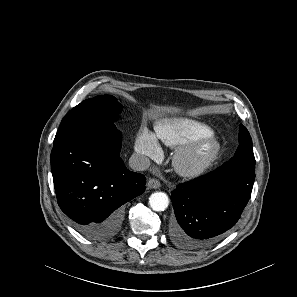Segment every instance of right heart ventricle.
<instances>
[{
    "label": "right heart ventricle",
    "mask_w": 297,
    "mask_h": 297,
    "mask_svg": "<svg viewBox=\"0 0 297 297\" xmlns=\"http://www.w3.org/2000/svg\"><path fill=\"white\" fill-rule=\"evenodd\" d=\"M212 129L205 123L186 117L169 118L156 124L158 138L167 146L180 147L193 139L212 134Z\"/></svg>",
    "instance_id": "right-heart-ventricle-1"
}]
</instances>
